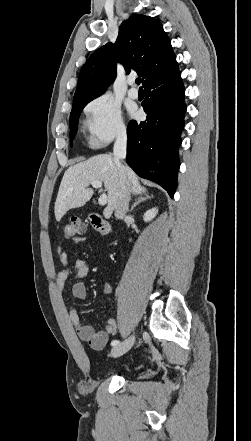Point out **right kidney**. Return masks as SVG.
Wrapping results in <instances>:
<instances>
[{"label": "right kidney", "mask_w": 251, "mask_h": 441, "mask_svg": "<svg viewBox=\"0 0 251 441\" xmlns=\"http://www.w3.org/2000/svg\"><path fill=\"white\" fill-rule=\"evenodd\" d=\"M157 213H158V209H157V208H152V209H150V210H148V211H146V212L144 213L143 220H144L145 222H149V221H151L153 218H155V216L157 215Z\"/></svg>", "instance_id": "right-kidney-1"}]
</instances>
